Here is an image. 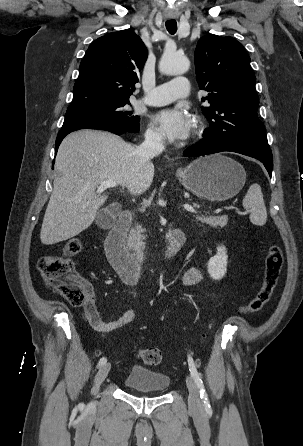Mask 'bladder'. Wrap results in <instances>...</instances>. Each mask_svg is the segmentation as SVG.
Returning a JSON list of instances; mask_svg holds the SVG:
<instances>
[{"mask_svg":"<svg viewBox=\"0 0 303 446\" xmlns=\"http://www.w3.org/2000/svg\"><path fill=\"white\" fill-rule=\"evenodd\" d=\"M124 386L131 391L144 393H164L170 385V377L160 371L142 366H134L125 376Z\"/></svg>","mask_w":303,"mask_h":446,"instance_id":"obj_1","label":"bladder"}]
</instances>
